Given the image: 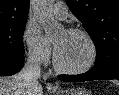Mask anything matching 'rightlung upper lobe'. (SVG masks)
Segmentation results:
<instances>
[{"label":"right lung upper lobe","mask_w":119,"mask_h":95,"mask_svg":"<svg viewBox=\"0 0 119 95\" xmlns=\"http://www.w3.org/2000/svg\"><path fill=\"white\" fill-rule=\"evenodd\" d=\"M30 0H0V25L27 20Z\"/></svg>","instance_id":"obj_1"}]
</instances>
